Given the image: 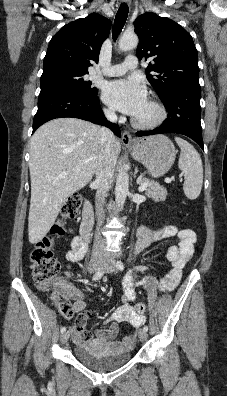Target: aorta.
Wrapping results in <instances>:
<instances>
[{
	"mask_svg": "<svg viewBox=\"0 0 227 396\" xmlns=\"http://www.w3.org/2000/svg\"><path fill=\"white\" fill-rule=\"evenodd\" d=\"M138 45V37L134 33H124L119 40V48L122 51H129ZM129 192V176L125 169L118 173L115 187V200L117 205H123Z\"/></svg>",
	"mask_w": 227,
	"mask_h": 396,
	"instance_id": "obj_1",
	"label": "aorta"
}]
</instances>
